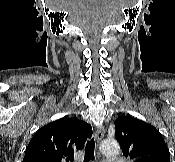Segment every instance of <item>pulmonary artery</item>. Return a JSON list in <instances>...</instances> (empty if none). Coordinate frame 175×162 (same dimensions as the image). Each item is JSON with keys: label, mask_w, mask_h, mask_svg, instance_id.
I'll return each instance as SVG.
<instances>
[{"label": "pulmonary artery", "mask_w": 175, "mask_h": 162, "mask_svg": "<svg viewBox=\"0 0 175 162\" xmlns=\"http://www.w3.org/2000/svg\"><path fill=\"white\" fill-rule=\"evenodd\" d=\"M105 162H124V161L120 158H111L106 160Z\"/></svg>", "instance_id": "pulmonary-artery-1"}]
</instances>
